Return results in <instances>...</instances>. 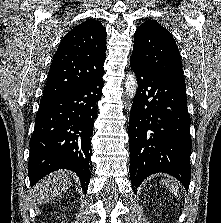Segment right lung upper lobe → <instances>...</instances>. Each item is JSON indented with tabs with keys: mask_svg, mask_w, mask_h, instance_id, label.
<instances>
[{
	"mask_svg": "<svg viewBox=\"0 0 221 223\" xmlns=\"http://www.w3.org/2000/svg\"><path fill=\"white\" fill-rule=\"evenodd\" d=\"M106 29L88 19L70 30L53 57L42 98L78 87L104 73Z\"/></svg>",
	"mask_w": 221,
	"mask_h": 223,
	"instance_id": "cb5924a9",
	"label": "right lung upper lobe"
}]
</instances>
